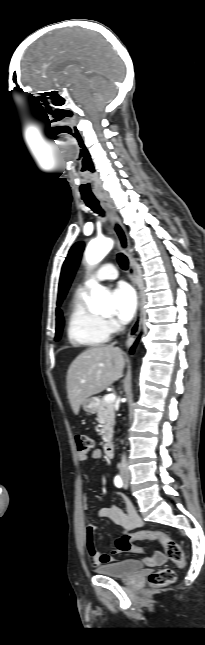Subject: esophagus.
Returning <instances> with one entry per match:
<instances>
[{"instance_id":"esophagus-1","label":"esophagus","mask_w":205,"mask_h":645,"mask_svg":"<svg viewBox=\"0 0 205 645\" xmlns=\"http://www.w3.org/2000/svg\"><path fill=\"white\" fill-rule=\"evenodd\" d=\"M98 198L100 199L101 203L103 206L108 209L111 212L112 215V224H113V229L116 234V237L119 242V247L120 249L127 255L128 260H129V277L130 280L132 281V284L135 288L136 291V296H137V309H136V314L135 318L133 321V324L128 332L127 335V340H126V346L130 347L136 338L138 337L141 329V319H142V301H141V288L138 283V279L136 276V270H135V264H134V259L132 256V249H131V244H130V239L126 233V230L124 226L121 223V220L119 219L118 215L116 214L110 199L108 198L107 195L105 194H99Z\"/></svg>"}]
</instances>
